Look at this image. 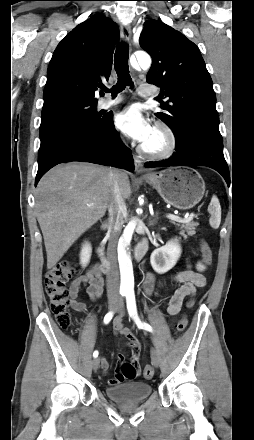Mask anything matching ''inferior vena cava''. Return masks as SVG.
<instances>
[{"label":"inferior vena cava","mask_w":254,"mask_h":440,"mask_svg":"<svg viewBox=\"0 0 254 440\" xmlns=\"http://www.w3.org/2000/svg\"><path fill=\"white\" fill-rule=\"evenodd\" d=\"M109 179L111 196L108 206L110 228L108 231L109 243L107 256L110 262V269L107 274V293L110 296H118L119 271L116 247L127 208L119 186V171L110 170Z\"/></svg>","instance_id":"602c4592"}]
</instances>
